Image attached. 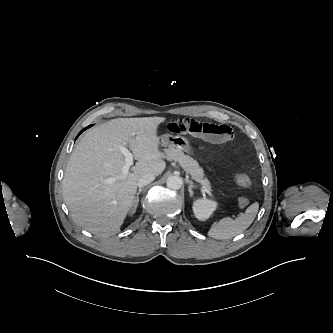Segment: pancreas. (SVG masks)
<instances>
[{"instance_id": "obj_1", "label": "pancreas", "mask_w": 333, "mask_h": 333, "mask_svg": "<svg viewBox=\"0 0 333 333\" xmlns=\"http://www.w3.org/2000/svg\"><path fill=\"white\" fill-rule=\"evenodd\" d=\"M164 157L169 161H177L181 167L190 174L192 179L201 184L206 189L212 191L211 184L207 178L204 177V171L199 166L198 162L185 155L181 150L170 147L164 151Z\"/></svg>"}]
</instances>
